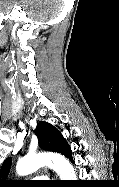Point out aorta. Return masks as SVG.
I'll return each instance as SVG.
<instances>
[{"label":"aorta","instance_id":"1","mask_svg":"<svg viewBox=\"0 0 119 187\" xmlns=\"http://www.w3.org/2000/svg\"><path fill=\"white\" fill-rule=\"evenodd\" d=\"M45 165L53 168L61 180H76V173L71 163L57 153H40L27 155L17 162L18 175H28Z\"/></svg>","mask_w":119,"mask_h":187}]
</instances>
